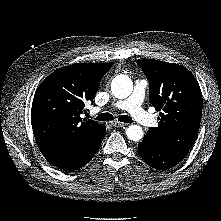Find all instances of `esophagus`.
I'll list each match as a JSON object with an SVG mask.
<instances>
[{
  "mask_svg": "<svg viewBox=\"0 0 221 221\" xmlns=\"http://www.w3.org/2000/svg\"><path fill=\"white\" fill-rule=\"evenodd\" d=\"M112 125H113L114 127H125V126H127L128 124L122 123V122H119V121H113V122H112Z\"/></svg>",
  "mask_w": 221,
  "mask_h": 221,
  "instance_id": "obj_1",
  "label": "esophagus"
}]
</instances>
